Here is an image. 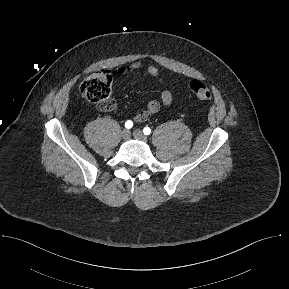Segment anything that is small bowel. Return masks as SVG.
<instances>
[{"mask_svg": "<svg viewBox=\"0 0 289 289\" xmlns=\"http://www.w3.org/2000/svg\"><path fill=\"white\" fill-rule=\"evenodd\" d=\"M140 68H143L147 74L162 82L159 70L154 65L143 64L141 61H136L130 64L129 66L119 68L118 73L126 74ZM172 100H173L172 93L167 89L163 90L160 94V102L157 100H150L146 104V107L134 116V120L136 122H144L148 120L152 115L156 114L160 110L161 104L169 105L171 104Z\"/></svg>", "mask_w": 289, "mask_h": 289, "instance_id": "small-bowel-1", "label": "small bowel"}]
</instances>
